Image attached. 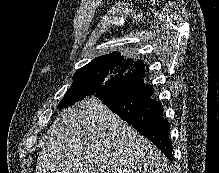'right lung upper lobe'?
<instances>
[{"label":"right lung upper lobe","instance_id":"cb5924a9","mask_svg":"<svg viewBox=\"0 0 219 173\" xmlns=\"http://www.w3.org/2000/svg\"><path fill=\"white\" fill-rule=\"evenodd\" d=\"M114 61L119 62L120 64L129 65L130 67L134 68L135 71L136 69H141L144 67L142 60H138L135 62L133 61V59L124 58V56L118 52H113L112 54L110 53L108 55L95 58L90 63H88L86 66H99V65H103L105 63L114 62Z\"/></svg>","mask_w":219,"mask_h":173}]
</instances>
